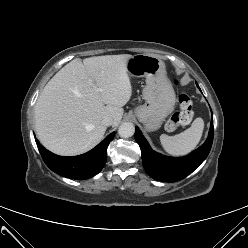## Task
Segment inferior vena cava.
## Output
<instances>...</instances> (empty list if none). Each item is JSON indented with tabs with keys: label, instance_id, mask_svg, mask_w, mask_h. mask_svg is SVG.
I'll use <instances>...</instances> for the list:
<instances>
[{
	"label": "inferior vena cava",
	"instance_id": "inferior-vena-cava-1",
	"mask_svg": "<svg viewBox=\"0 0 248 248\" xmlns=\"http://www.w3.org/2000/svg\"><path fill=\"white\" fill-rule=\"evenodd\" d=\"M101 123L104 126H111L113 124V118L110 116H106L102 119Z\"/></svg>",
	"mask_w": 248,
	"mask_h": 248
}]
</instances>
